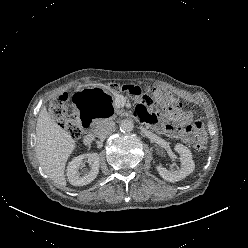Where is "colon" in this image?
<instances>
[{"mask_svg":"<svg viewBox=\"0 0 248 248\" xmlns=\"http://www.w3.org/2000/svg\"><path fill=\"white\" fill-rule=\"evenodd\" d=\"M114 91H124L130 96L140 101L144 105L157 104L165 111L174 115L186 114L182 110L181 103L173 97L169 92L162 89H154L151 91H143L140 87L135 85H111ZM51 117L56 120L65 130L68 131L74 140L80 139L82 136L81 117L75 114L73 108L68 102L67 95H62L54 100L49 107ZM192 125L200 129L203 124L200 120H195ZM205 141L199 140L194 144L196 151H203L205 149Z\"/></svg>","mask_w":248,"mask_h":248,"instance_id":"colon-1","label":"colon"}]
</instances>
